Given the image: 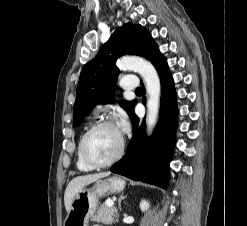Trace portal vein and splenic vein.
<instances>
[{"instance_id": "obj_1", "label": "portal vein and splenic vein", "mask_w": 247, "mask_h": 226, "mask_svg": "<svg viewBox=\"0 0 247 226\" xmlns=\"http://www.w3.org/2000/svg\"><path fill=\"white\" fill-rule=\"evenodd\" d=\"M107 204L109 205V206H113V201L112 200H107Z\"/></svg>"}]
</instances>
